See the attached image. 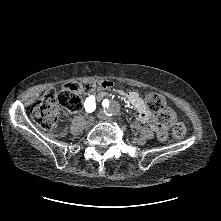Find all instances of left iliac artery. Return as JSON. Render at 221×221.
<instances>
[{"label": "left iliac artery", "mask_w": 221, "mask_h": 221, "mask_svg": "<svg viewBox=\"0 0 221 221\" xmlns=\"http://www.w3.org/2000/svg\"><path fill=\"white\" fill-rule=\"evenodd\" d=\"M103 107H108L109 106V101L108 99H104L102 102Z\"/></svg>", "instance_id": "left-iliac-artery-1"}]
</instances>
